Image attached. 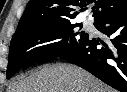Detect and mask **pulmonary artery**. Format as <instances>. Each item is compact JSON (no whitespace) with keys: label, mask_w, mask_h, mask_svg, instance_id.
Returning <instances> with one entry per match:
<instances>
[{"label":"pulmonary artery","mask_w":127,"mask_h":92,"mask_svg":"<svg viewBox=\"0 0 127 92\" xmlns=\"http://www.w3.org/2000/svg\"><path fill=\"white\" fill-rule=\"evenodd\" d=\"M83 24H84L85 27H90L91 26V21L89 19H85L83 21Z\"/></svg>","instance_id":"e3ab8cb5"}]
</instances>
